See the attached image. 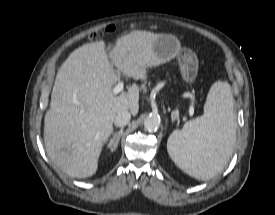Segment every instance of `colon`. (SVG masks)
Masks as SVG:
<instances>
[{
	"label": "colon",
	"mask_w": 275,
	"mask_h": 215,
	"mask_svg": "<svg viewBox=\"0 0 275 215\" xmlns=\"http://www.w3.org/2000/svg\"><path fill=\"white\" fill-rule=\"evenodd\" d=\"M114 29H115V27H114L113 25H111V26H108V27L105 29V31H106V32H111V31H113ZM102 35H103V31H95V32L91 33L89 37H90L91 39H93V40H97V39L101 38Z\"/></svg>",
	"instance_id": "colon-1"
}]
</instances>
